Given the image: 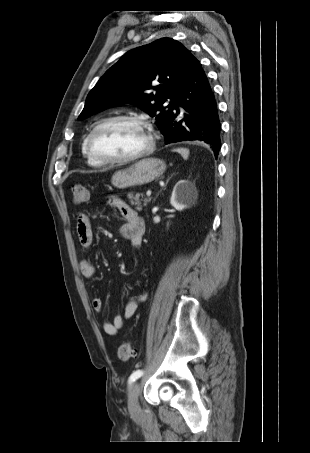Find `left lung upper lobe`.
<instances>
[{"mask_svg": "<svg viewBox=\"0 0 310 453\" xmlns=\"http://www.w3.org/2000/svg\"><path fill=\"white\" fill-rule=\"evenodd\" d=\"M191 57L189 50L171 38L128 51L90 91L78 119H85L112 105L131 103L155 116L162 129L172 113ZM151 89L156 92L151 93ZM168 99L172 101L163 106Z\"/></svg>", "mask_w": 310, "mask_h": 453, "instance_id": "1", "label": "left lung upper lobe"}]
</instances>
